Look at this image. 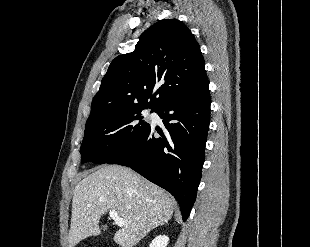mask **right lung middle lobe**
Masks as SVG:
<instances>
[{
    "instance_id": "dd1d6c3e",
    "label": "right lung middle lobe",
    "mask_w": 310,
    "mask_h": 247,
    "mask_svg": "<svg viewBox=\"0 0 310 247\" xmlns=\"http://www.w3.org/2000/svg\"><path fill=\"white\" fill-rule=\"evenodd\" d=\"M143 109L113 112L86 122L81 162L108 163L134 145L150 125L143 120Z\"/></svg>"
}]
</instances>
